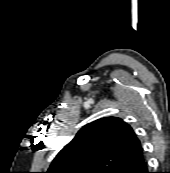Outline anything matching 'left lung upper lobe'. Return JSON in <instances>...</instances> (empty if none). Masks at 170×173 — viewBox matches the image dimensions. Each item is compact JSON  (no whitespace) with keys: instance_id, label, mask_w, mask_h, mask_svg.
Listing matches in <instances>:
<instances>
[{"instance_id":"5c2ea615","label":"left lung upper lobe","mask_w":170,"mask_h":173,"mask_svg":"<svg viewBox=\"0 0 170 173\" xmlns=\"http://www.w3.org/2000/svg\"><path fill=\"white\" fill-rule=\"evenodd\" d=\"M141 155L133 129L120 118L105 117L83 126L46 173H115Z\"/></svg>"}]
</instances>
